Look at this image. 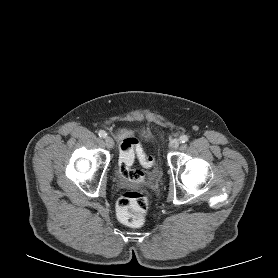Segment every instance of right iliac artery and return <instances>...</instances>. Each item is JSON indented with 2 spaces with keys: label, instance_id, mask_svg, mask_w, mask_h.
<instances>
[{
  "label": "right iliac artery",
  "instance_id": "right-iliac-artery-1",
  "mask_svg": "<svg viewBox=\"0 0 278 278\" xmlns=\"http://www.w3.org/2000/svg\"><path fill=\"white\" fill-rule=\"evenodd\" d=\"M98 134L102 138H105L107 136V134H106V132L104 130H100Z\"/></svg>",
  "mask_w": 278,
  "mask_h": 278
}]
</instances>
